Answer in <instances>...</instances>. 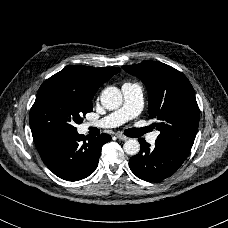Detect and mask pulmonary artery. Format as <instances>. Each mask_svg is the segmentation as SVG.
<instances>
[{"mask_svg": "<svg viewBox=\"0 0 228 228\" xmlns=\"http://www.w3.org/2000/svg\"><path fill=\"white\" fill-rule=\"evenodd\" d=\"M121 90L124 97L123 106L100 120L86 123L85 126L87 128H115L132 119L137 114L139 111L138 106L143 99V89L141 84L138 82H126L122 85ZM157 137L158 132L155 131L148 134L146 140L150 144H154Z\"/></svg>", "mask_w": 228, "mask_h": 228, "instance_id": "pulmonary-artery-1", "label": "pulmonary artery"}]
</instances>
